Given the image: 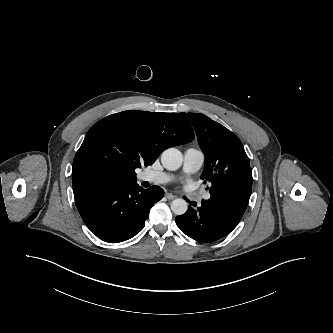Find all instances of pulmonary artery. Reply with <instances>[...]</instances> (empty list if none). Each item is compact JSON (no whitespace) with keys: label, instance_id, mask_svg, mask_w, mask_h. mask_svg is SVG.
Returning <instances> with one entry per match:
<instances>
[{"label":"pulmonary artery","instance_id":"obj_1","mask_svg":"<svg viewBox=\"0 0 333 333\" xmlns=\"http://www.w3.org/2000/svg\"><path fill=\"white\" fill-rule=\"evenodd\" d=\"M204 163V154L202 151L189 148L184 152L183 158V172L186 174H193L197 172ZM138 180L146 181L154 184H164L172 181L174 179L173 175L160 171L146 170L141 172L137 176ZM205 200L210 198L208 192L204 193L202 196Z\"/></svg>","mask_w":333,"mask_h":333}]
</instances>
